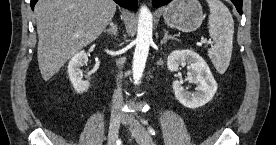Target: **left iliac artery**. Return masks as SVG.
I'll use <instances>...</instances> for the list:
<instances>
[{"label": "left iliac artery", "mask_w": 276, "mask_h": 145, "mask_svg": "<svg viewBox=\"0 0 276 145\" xmlns=\"http://www.w3.org/2000/svg\"><path fill=\"white\" fill-rule=\"evenodd\" d=\"M149 129V132L152 134V135H155V131L152 129V128H148Z\"/></svg>", "instance_id": "left-iliac-artery-1"}]
</instances>
